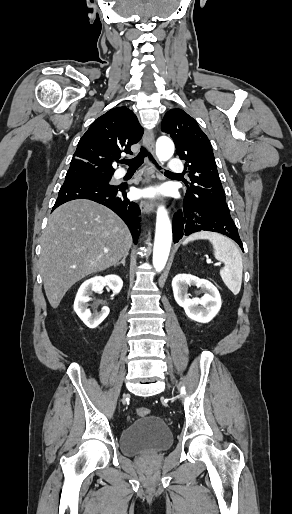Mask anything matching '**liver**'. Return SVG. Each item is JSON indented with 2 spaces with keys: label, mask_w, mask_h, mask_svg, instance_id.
<instances>
[{
  "label": "liver",
  "mask_w": 292,
  "mask_h": 514,
  "mask_svg": "<svg viewBox=\"0 0 292 514\" xmlns=\"http://www.w3.org/2000/svg\"><path fill=\"white\" fill-rule=\"evenodd\" d=\"M40 244L44 290L50 306L58 308L73 284L128 256L132 236L121 218L105 206L72 200L50 214Z\"/></svg>",
  "instance_id": "obj_1"
}]
</instances>
